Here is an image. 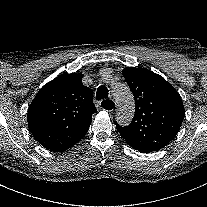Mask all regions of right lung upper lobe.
Returning <instances> with one entry per match:
<instances>
[{
  "instance_id": "right-lung-upper-lobe-1",
  "label": "right lung upper lobe",
  "mask_w": 207,
  "mask_h": 207,
  "mask_svg": "<svg viewBox=\"0 0 207 207\" xmlns=\"http://www.w3.org/2000/svg\"><path fill=\"white\" fill-rule=\"evenodd\" d=\"M81 73L60 75L45 84L28 109V127L46 149L63 152L87 133L92 114L93 92L82 83Z\"/></svg>"
}]
</instances>
